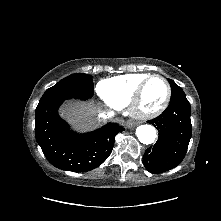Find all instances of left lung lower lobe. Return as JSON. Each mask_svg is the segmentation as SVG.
<instances>
[{
	"label": "left lung lower lobe",
	"instance_id": "1",
	"mask_svg": "<svg viewBox=\"0 0 221 221\" xmlns=\"http://www.w3.org/2000/svg\"><path fill=\"white\" fill-rule=\"evenodd\" d=\"M190 116V103L181 99L171 102L160 116L149 121L159 132L158 141L143 156L150 173L166 172L182 162L192 135Z\"/></svg>",
	"mask_w": 221,
	"mask_h": 221
}]
</instances>
